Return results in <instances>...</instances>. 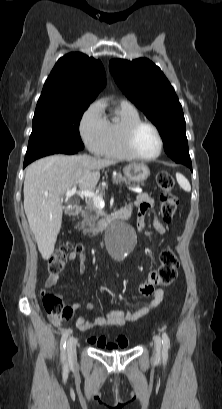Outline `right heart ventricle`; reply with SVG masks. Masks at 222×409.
<instances>
[{"label": "right heart ventricle", "mask_w": 222, "mask_h": 409, "mask_svg": "<svg viewBox=\"0 0 222 409\" xmlns=\"http://www.w3.org/2000/svg\"><path fill=\"white\" fill-rule=\"evenodd\" d=\"M141 120L138 110L131 104L119 103L115 117L107 121V133L99 155L113 159H131L124 146V133L129 125Z\"/></svg>", "instance_id": "e07e8e85"}]
</instances>
